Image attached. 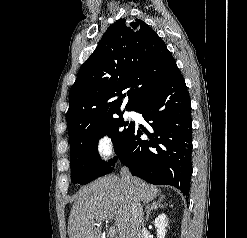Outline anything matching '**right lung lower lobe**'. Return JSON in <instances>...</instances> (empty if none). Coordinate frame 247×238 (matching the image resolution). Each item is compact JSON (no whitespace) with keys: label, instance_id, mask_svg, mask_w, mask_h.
Instances as JSON below:
<instances>
[{"label":"right lung lower lobe","instance_id":"98d812e1","mask_svg":"<svg viewBox=\"0 0 247 238\" xmlns=\"http://www.w3.org/2000/svg\"><path fill=\"white\" fill-rule=\"evenodd\" d=\"M150 131L135 123L119 155L135 176L156 185H172L188 196L192 175L191 102L177 69L168 81L135 109ZM145 133L149 139L142 140Z\"/></svg>","mask_w":247,"mask_h":238}]
</instances>
